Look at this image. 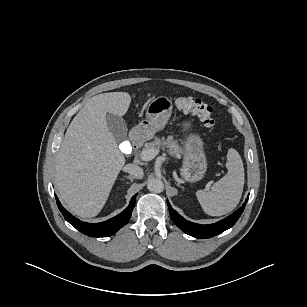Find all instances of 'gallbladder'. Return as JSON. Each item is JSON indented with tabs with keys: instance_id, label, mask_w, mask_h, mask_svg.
<instances>
[{
	"instance_id": "obj_1",
	"label": "gallbladder",
	"mask_w": 307,
	"mask_h": 307,
	"mask_svg": "<svg viewBox=\"0 0 307 307\" xmlns=\"http://www.w3.org/2000/svg\"><path fill=\"white\" fill-rule=\"evenodd\" d=\"M106 122L110 132L117 141H123L126 139L128 129L123 118L107 113Z\"/></svg>"
}]
</instances>
